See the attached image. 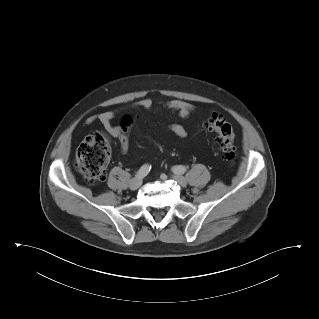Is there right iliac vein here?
Instances as JSON below:
<instances>
[{"mask_svg": "<svg viewBox=\"0 0 319 319\" xmlns=\"http://www.w3.org/2000/svg\"><path fill=\"white\" fill-rule=\"evenodd\" d=\"M142 184V179L140 177H135L130 181V189L137 190Z\"/></svg>", "mask_w": 319, "mask_h": 319, "instance_id": "right-iliac-vein-1", "label": "right iliac vein"}]
</instances>
